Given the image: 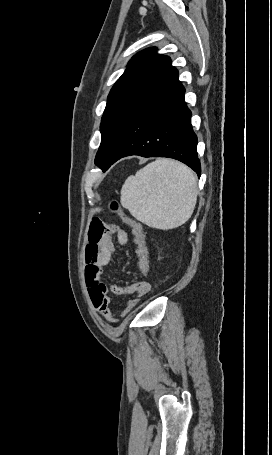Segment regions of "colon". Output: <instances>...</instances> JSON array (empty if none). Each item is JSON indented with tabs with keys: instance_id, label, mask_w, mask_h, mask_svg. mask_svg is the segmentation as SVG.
<instances>
[{
	"instance_id": "obj_1",
	"label": "colon",
	"mask_w": 272,
	"mask_h": 455,
	"mask_svg": "<svg viewBox=\"0 0 272 455\" xmlns=\"http://www.w3.org/2000/svg\"><path fill=\"white\" fill-rule=\"evenodd\" d=\"M111 208L113 210H117V204H112ZM122 219L124 220L125 223H127L130 228L132 229V233L135 238V243L137 245V257H138V268L140 271L141 276L146 279L149 275L150 272V262H149V253H148V248L146 245V238H145V233L143 230L142 224L127 216L124 213L120 214Z\"/></svg>"
}]
</instances>
